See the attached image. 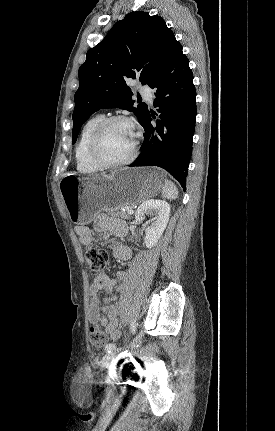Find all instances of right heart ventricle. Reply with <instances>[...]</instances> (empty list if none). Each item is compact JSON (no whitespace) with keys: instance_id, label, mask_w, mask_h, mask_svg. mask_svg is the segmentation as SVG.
Instances as JSON below:
<instances>
[{"instance_id":"e07e8e85","label":"right heart ventricle","mask_w":275,"mask_h":431,"mask_svg":"<svg viewBox=\"0 0 275 431\" xmlns=\"http://www.w3.org/2000/svg\"><path fill=\"white\" fill-rule=\"evenodd\" d=\"M103 119L104 116L100 114L89 118L80 131L75 148V159L77 169L82 173H93L101 169L88 156V142L93 131Z\"/></svg>"}]
</instances>
